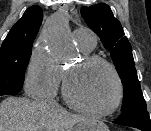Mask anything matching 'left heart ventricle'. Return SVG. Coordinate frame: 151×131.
Returning <instances> with one entry per match:
<instances>
[{
	"instance_id": "1",
	"label": "left heart ventricle",
	"mask_w": 151,
	"mask_h": 131,
	"mask_svg": "<svg viewBox=\"0 0 151 131\" xmlns=\"http://www.w3.org/2000/svg\"><path fill=\"white\" fill-rule=\"evenodd\" d=\"M69 71V90L76 100L95 110H103L111 105L115 98L116 86L106 66H86L81 61Z\"/></svg>"
}]
</instances>
